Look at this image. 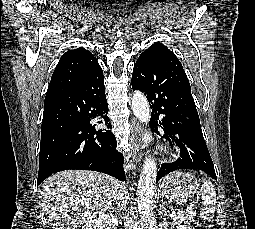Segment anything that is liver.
<instances>
[{"instance_id": "liver-1", "label": "liver", "mask_w": 255, "mask_h": 229, "mask_svg": "<svg viewBox=\"0 0 255 229\" xmlns=\"http://www.w3.org/2000/svg\"><path fill=\"white\" fill-rule=\"evenodd\" d=\"M121 187L103 173L66 170L47 178L39 188V197L56 229H76L110 210Z\"/></svg>"}]
</instances>
